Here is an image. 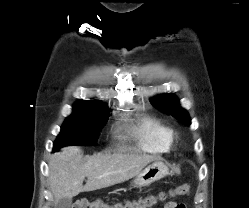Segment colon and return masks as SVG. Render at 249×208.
<instances>
[{"label":"colon","mask_w":249,"mask_h":208,"mask_svg":"<svg viewBox=\"0 0 249 208\" xmlns=\"http://www.w3.org/2000/svg\"><path fill=\"white\" fill-rule=\"evenodd\" d=\"M190 187L187 184L178 186L170 192L171 197L183 196L189 193ZM166 198L164 194L158 196L149 195L125 202L107 203L102 200L90 201L87 199L78 200L72 208H152L158 202ZM180 208H185L184 204H180Z\"/></svg>","instance_id":"5ec220e1"}]
</instances>
